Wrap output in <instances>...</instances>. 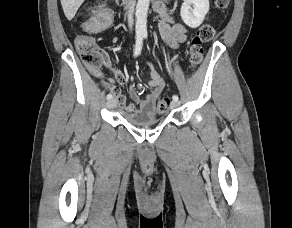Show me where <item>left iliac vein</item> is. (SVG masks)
Wrapping results in <instances>:
<instances>
[{"mask_svg":"<svg viewBox=\"0 0 292 228\" xmlns=\"http://www.w3.org/2000/svg\"><path fill=\"white\" fill-rule=\"evenodd\" d=\"M171 106H172L173 108H176V107L179 106V102L173 100L172 103H171Z\"/></svg>","mask_w":292,"mask_h":228,"instance_id":"1","label":"left iliac vein"}]
</instances>
